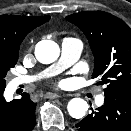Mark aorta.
Returning a JSON list of instances; mask_svg holds the SVG:
<instances>
[{"label": "aorta", "instance_id": "762f6f07", "mask_svg": "<svg viewBox=\"0 0 131 131\" xmlns=\"http://www.w3.org/2000/svg\"><path fill=\"white\" fill-rule=\"evenodd\" d=\"M59 46L51 40H42L37 43L35 56L43 64L54 62L59 57ZM67 110L72 118H82L88 110V104L81 98H73L69 101Z\"/></svg>", "mask_w": 131, "mask_h": 131}]
</instances>
